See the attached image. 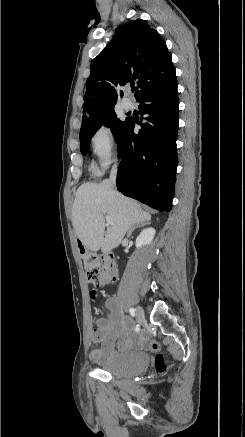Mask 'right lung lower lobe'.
Here are the masks:
<instances>
[{"instance_id":"98d812e1","label":"right lung lower lobe","mask_w":245,"mask_h":437,"mask_svg":"<svg viewBox=\"0 0 245 437\" xmlns=\"http://www.w3.org/2000/svg\"><path fill=\"white\" fill-rule=\"evenodd\" d=\"M136 100L145 122L139 123L142 129L135 134L134 122L128 119L117 139L121 158L117 187L158 211H170L178 163L177 83Z\"/></svg>"}]
</instances>
